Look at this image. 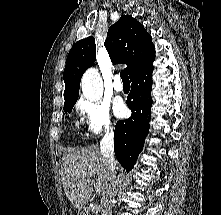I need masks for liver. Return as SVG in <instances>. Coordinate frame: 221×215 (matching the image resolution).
<instances>
[{
  "label": "liver",
  "mask_w": 221,
  "mask_h": 215,
  "mask_svg": "<svg viewBox=\"0 0 221 215\" xmlns=\"http://www.w3.org/2000/svg\"><path fill=\"white\" fill-rule=\"evenodd\" d=\"M61 181L66 196L80 211L91 198L93 187L102 197L108 184V166L95 147L69 149L62 157Z\"/></svg>",
  "instance_id": "liver-1"
}]
</instances>
